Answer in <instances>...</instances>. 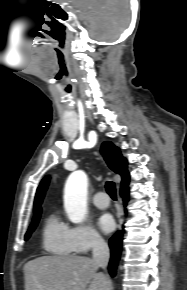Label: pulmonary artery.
<instances>
[{
    "instance_id": "obj_1",
    "label": "pulmonary artery",
    "mask_w": 187,
    "mask_h": 290,
    "mask_svg": "<svg viewBox=\"0 0 187 290\" xmlns=\"http://www.w3.org/2000/svg\"><path fill=\"white\" fill-rule=\"evenodd\" d=\"M92 202L99 208H107L109 206V199L105 192L96 193L92 198Z\"/></svg>"
}]
</instances>
